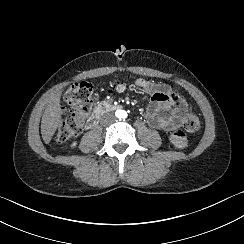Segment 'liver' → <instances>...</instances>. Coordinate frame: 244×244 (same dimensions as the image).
<instances>
[{
	"mask_svg": "<svg viewBox=\"0 0 244 244\" xmlns=\"http://www.w3.org/2000/svg\"><path fill=\"white\" fill-rule=\"evenodd\" d=\"M60 93L51 96L41 121V134L44 142L49 144L61 121Z\"/></svg>",
	"mask_w": 244,
	"mask_h": 244,
	"instance_id": "1",
	"label": "liver"
}]
</instances>
